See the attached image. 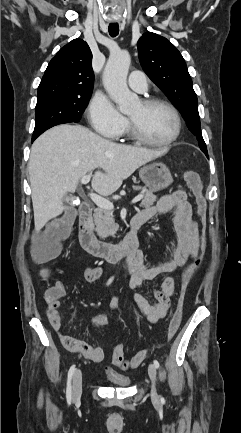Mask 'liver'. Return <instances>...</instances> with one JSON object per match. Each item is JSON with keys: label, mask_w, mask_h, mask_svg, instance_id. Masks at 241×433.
<instances>
[{"label": "liver", "mask_w": 241, "mask_h": 433, "mask_svg": "<svg viewBox=\"0 0 241 433\" xmlns=\"http://www.w3.org/2000/svg\"><path fill=\"white\" fill-rule=\"evenodd\" d=\"M162 151L117 144L81 125L53 127L36 139L28 163L35 230L62 214V199L75 192L79 180L95 169L92 188L102 196L116 192L123 181Z\"/></svg>", "instance_id": "obj_1"}]
</instances>
